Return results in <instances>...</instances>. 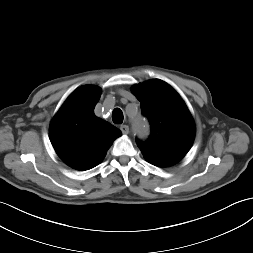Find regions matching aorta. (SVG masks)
<instances>
[{
  "mask_svg": "<svg viewBox=\"0 0 253 253\" xmlns=\"http://www.w3.org/2000/svg\"><path fill=\"white\" fill-rule=\"evenodd\" d=\"M132 131L139 139H145L149 135V124L140 114L132 120Z\"/></svg>",
  "mask_w": 253,
  "mask_h": 253,
  "instance_id": "aorta-1",
  "label": "aorta"
}]
</instances>
